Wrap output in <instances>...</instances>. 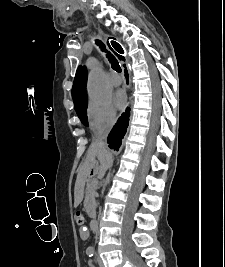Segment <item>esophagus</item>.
Instances as JSON below:
<instances>
[{
	"mask_svg": "<svg viewBox=\"0 0 225 267\" xmlns=\"http://www.w3.org/2000/svg\"><path fill=\"white\" fill-rule=\"evenodd\" d=\"M109 43L112 44L111 40H109ZM124 69V68H123Z\"/></svg>",
	"mask_w": 225,
	"mask_h": 267,
	"instance_id": "34e87169",
	"label": "esophagus"
}]
</instances>
